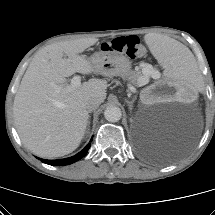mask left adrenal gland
<instances>
[{"instance_id":"left-adrenal-gland-1","label":"left adrenal gland","mask_w":215,"mask_h":215,"mask_svg":"<svg viewBox=\"0 0 215 215\" xmlns=\"http://www.w3.org/2000/svg\"><path fill=\"white\" fill-rule=\"evenodd\" d=\"M125 101H126V103H127L128 107H129V110L131 111V110H132V108H133V103H134V101H135V100H132V101L125 100Z\"/></svg>"}]
</instances>
